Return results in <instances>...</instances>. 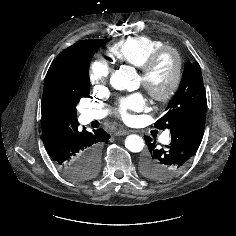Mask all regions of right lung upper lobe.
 <instances>
[{
	"instance_id": "obj_1",
	"label": "right lung upper lobe",
	"mask_w": 236,
	"mask_h": 236,
	"mask_svg": "<svg viewBox=\"0 0 236 236\" xmlns=\"http://www.w3.org/2000/svg\"><path fill=\"white\" fill-rule=\"evenodd\" d=\"M93 40H81L62 51L51 64L45 77L42 96V131L68 127L76 120L74 106L61 92L60 83L69 73L76 49Z\"/></svg>"
}]
</instances>
